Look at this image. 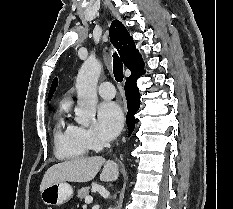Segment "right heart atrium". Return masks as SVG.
I'll use <instances>...</instances> for the list:
<instances>
[{
	"instance_id": "obj_1",
	"label": "right heart atrium",
	"mask_w": 233,
	"mask_h": 209,
	"mask_svg": "<svg viewBox=\"0 0 233 209\" xmlns=\"http://www.w3.org/2000/svg\"><path fill=\"white\" fill-rule=\"evenodd\" d=\"M75 133L78 141L89 150L97 151L106 145V142L91 128L75 126Z\"/></svg>"
}]
</instances>
